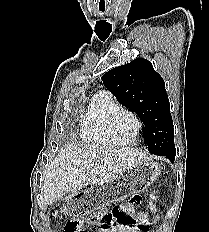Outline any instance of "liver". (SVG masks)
Instances as JSON below:
<instances>
[{"label": "liver", "instance_id": "obj_1", "mask_svg": "<svg viewBox=\"0 0 209 232\" xmlns=\"http://www.w3.org/2000/svg\"><path fill=\"white\" fill-rule=\"evenodd\" d=\"M149 160L135 148L69 145L60 150L44 176L43 197L53 204L68 192L114 180L130 167Z\"/></svg>", "mask_w": 209, "mask_h": 232}]
</instances>
